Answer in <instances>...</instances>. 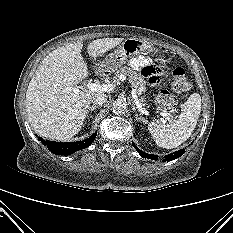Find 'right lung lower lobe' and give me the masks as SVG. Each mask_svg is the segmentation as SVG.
Returning a JSON list of instances; mask_svg holds the SVG:
<instances>
[{"label":"right lung lower lobe","instance_id":"obj_1","mask_svg":"<svg viewBox=\"0 0 233 233\" xmlns=\"http://www.w3.org/2000/svg\"><path fill=\"white\" fill-rule=\"evenodd\" d=\"M96 134L97 132L92 134V136L89 138L77 142H55L45 141L42 138L38 139L43 143V145L47 146V148L56 155H71L76 151L88 147L95 140Z\"/></svg>","mask_w":233,"mask_h":233}]
</instances>
